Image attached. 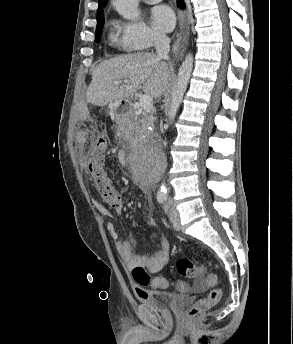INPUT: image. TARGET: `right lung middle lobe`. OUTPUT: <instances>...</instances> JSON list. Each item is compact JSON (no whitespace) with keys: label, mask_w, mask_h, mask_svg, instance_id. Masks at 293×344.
<instances>
[{"label":"right lung middle lobe","mask_w":293,"mask_h":344,"mask_svg":"<svg viewBox=\"0 0 293 344\" xmlns=\"http://www.w3.org/2000/svg\"><path fill=\"white\" fill-rule=\"evenodd\" d=\"M104 24V14L103 12L100 14V16L97 18V26H96V40L99 41L102 28Z\"/></svg>","instance_id":"obj_1"}]
</instances>
